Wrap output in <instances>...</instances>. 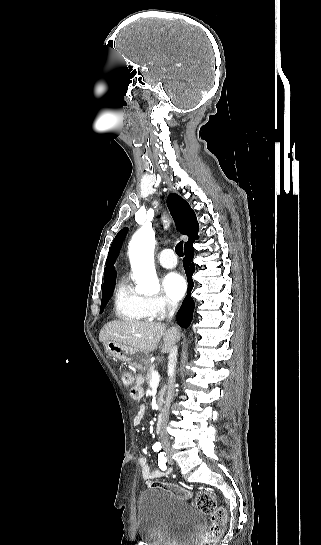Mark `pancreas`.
I'll return each instance as SVG.
<instances>
[{"label": "pancreas", "mask_w": 321, "mask_h": 545, "mask_svg": "<svg viewBox=\"0 0 321 545\" xmlns=\"http://www.w3.org/2000/svg\"><path fill=\"white\" fill-rule=\"evenodd\" d=\"M155 367L156 365H153V363H150V367L149 369H146V373H145V379H146V383L149 387L150 383H151V377H152V373L153 371H155ZM165 391H166V385H163L160 393H159V407H161V405H163V397L165 395Z\"/></svg>", "instance_id": "1"}]
</instances>
